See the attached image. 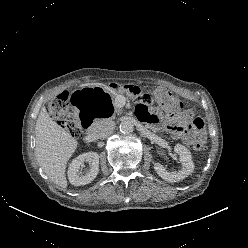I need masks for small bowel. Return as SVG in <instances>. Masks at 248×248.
Returning <instances> with one entry per match:
<instances>
[{"label": "small bowel", "mask_w": 248, "mask_h": 248, "mask_svg": "<svg viewBox=\"0 0 248 248\" xmlns=\"http://www.w3.org/2000/svg\"><path fill=\"white\" fill-rule=\"evenodd\" d=\"M136 115L139 119L152 124L157 129H165L188 145L205 139L204 130H196L191 126L192 115L190 112L175 115L171 118L170 123H164L156 111L146 105L139 104L136 107Z\"/></svg>", "instance_id": "small-bowel-1"}]
</instances>
